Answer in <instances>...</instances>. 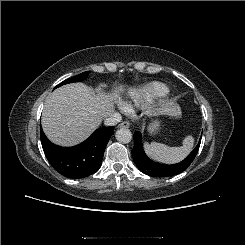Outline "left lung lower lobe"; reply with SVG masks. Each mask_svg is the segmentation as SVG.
<instances>
[{"instance_id":"0a47b994","label":"left lung lower lobe","mask_w":245,"mask_h":245,"mask_svg":"<svg viewBox=\"0 0 245 245\" xmlns=\"http://www.w3.org/2000/svg\"><path fill=\"white\" fill-rule=\"evenodd\" d=\"M133 137L134 148L132 150V156L134 162L141 172L152 177H170L183 172L194 160L201 142L200 139L196 148L182 162L175 165H163L156 163L147 157L143 150L140 132H135Z\"/></svg>"}]
</instances>
